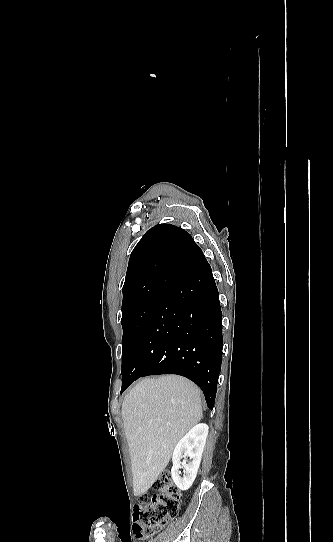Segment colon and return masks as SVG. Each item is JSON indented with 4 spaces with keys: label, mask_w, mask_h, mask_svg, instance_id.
Listing matches in <instances>:
<instances>
[{
    "label": "colon",
    "mask_w": 333,
    "mask_h": 542,
    "mask_svg": "<svg viewBox=\"0 0 333 542\" xmlns=\"http://www.w3.org/2000/svg\"><path fill=\"white\" fill-rule=\"evenodd\" d=\"M160 494L139 497L134 515V533L138 538H150L161 530L178 513L181 495L169 472L161 474L154 482Z\"/></svg>",
    "instance_id": "colon-1"
}]
</instances>
